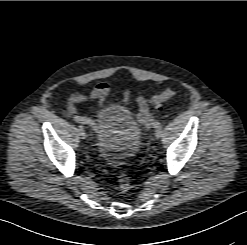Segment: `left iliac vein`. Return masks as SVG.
<instances>
[{"label": "left iliac vein", "instance_id": "left-iliac-vein-1", "mask_svg": "<svg viewBox=\"0 0 247 245\" xmlns=\"http://www.w3.org/2000/svg\"><path fill=\"white\" fill-rule=\"evenodd\" d=\"M161 135H162V130H161V128H156L155 137H156L157 139H159V138L161 137Z\"/></svg>", "mask_w": 247, "mask_h": 245}]
</instances>
